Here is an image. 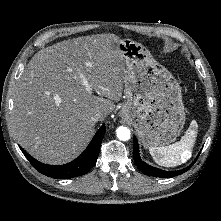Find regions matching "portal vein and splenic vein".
I'll list each match as a JSON object with an SVG mask.
<instances>
[{"instance_id": "obj_1", "label": "portal vein and splenic vein", "mask_w": 221, "mask_h": 221, "mask_svg": "<svg viewBox=\"0 0 221 221\" xmlns=\"http://www.w3.org/2000/svg\"><path fill=\"white\" fill-rule=\"evenodd\" d=\"M80 78H81L85 88L89 91L90 90V86L88 84V81H87L86 77L82 73H80Z\"/></svg>"}]
</instances>
